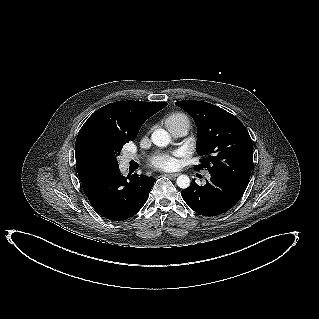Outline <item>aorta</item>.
Segmentation results:
<instances>
[{
    "label": "aorta",
    "instance_id": "1",
    "mask_svg": "<svg viewBox=\"0 0 319 319\" xmlns=\"http://www.w3.org/2000/svg\"><path fill=\"white\" fill-rule=\"evenodd\" d=\"M151 139L152 142L159 147H165L171 141L168 132H166L164 129L155 130L151 135ZM177 185L182 189L188 188L190 186L189 177L187 175H180L177 178Z\"/></svg>",
    "mask_w": 319,
    "mask_h": 319
}]
</instances>
